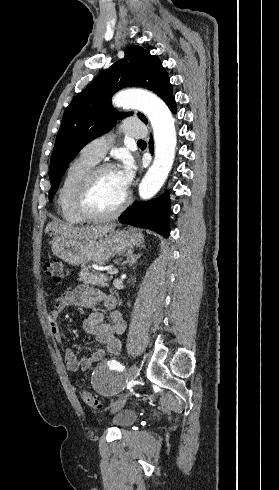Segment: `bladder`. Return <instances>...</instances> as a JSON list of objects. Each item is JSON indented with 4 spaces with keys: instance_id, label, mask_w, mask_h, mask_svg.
Returning <instances> with one entry per match:
<instances>
[{
    "instance_id": "31cf9c89",
    "label": "bladder",
    "mask_w": 279,
    "mask_h": 490,
    "mask_svg": "<svg viewBox=\"0 0 279 490\" xmlns=\"http://www.w3.org/2000/svg\"><path fill=\"white\" fill-rule=\"evenodd\" d=\"M137 420V414L132 409L117 411L110 419V424L119 428L132 425Z\"/></svg>"
}]
</instances>
